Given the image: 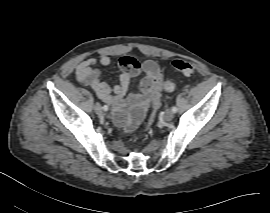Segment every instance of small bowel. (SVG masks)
Wrapping results in <instances>:
<instances>
[{
    "label": "small bowel",
    "instance_id": "obj_1",
    "mask_svg": "<svg viewBox=\"0 0 270 213\" xmlns=\"http://www.w3.org/2000/svg\"><path fill=\"white\" fill-rule=\"evenodd\" d=\"M112 60L107 54H102L98 59H87L80 62L76 69L77 79L84 85L95 90L99 98L113 108V118L119 128L131 130L143 117L146 111L159 102L161 92L159 83L161 81V70L157 62L146 60L140 66L131 57H121L119 67L122 70L120 82L111 88L101 78V71L96 64L109 66ZM140 70L145 73L135 92L126 95L128 89L138 77ZM112 92L115 95H112ZM129 106L132 109L130 118L120 114V108Z\"/></svg>",
    "mask_w": 270,
    "mask_h": 213
}]
</instances>
